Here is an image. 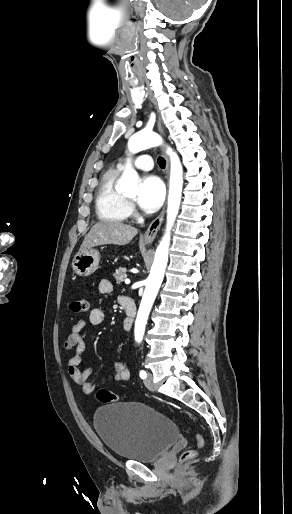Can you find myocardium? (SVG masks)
Instances as JSON below:
<instances>
[{"instance_id":"1","label":"myocardium","mask_w":292,"mask_h":514,"mask_svg":"<svg viewBox=\"0 0 292 514\" xmlns=\"http://www.w3.org/2000/svg\"><path fill=\"white\" fill-rule=\"evenodd\" d=\"M124 201L128 206L132 205L133 201L131 199H128L126 196L122 195Z\"/></svg>"}]
</instances>
